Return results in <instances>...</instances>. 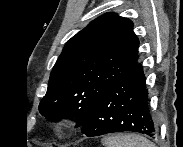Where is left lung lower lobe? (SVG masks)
Here are the masks:
<instances>
[{
  "label": "left lung lower lobe",
  "mask_w": 183,
  "mask_h": 147,
  "mask_svg": "<svg viewBox=\"0 0 183 147\" xmlns=\"http://www.w3.org/2000/svg\"><path fill=\"white\" fill-rule=\"evenodd\" d=\"M88 137L132 131L154 136L157 126L149 111L145 75L138 62L99 98L82 125Z\"/></svg>",
  "instance_id": "left-lung-lower-lobe-1"
}]
</instances>
